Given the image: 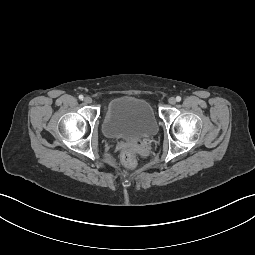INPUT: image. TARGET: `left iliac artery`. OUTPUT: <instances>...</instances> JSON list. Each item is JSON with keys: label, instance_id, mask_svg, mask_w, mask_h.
<instances>
[{"label": "left iliac artery", "instance_id": "left-iliac-artery-1", "mask_svg": "<svg viewBox=\"0 0 255 255\" xmlns=\"http://www.w3.org/2000/svg\"><path fill=\"white\" fill-rule=\"evenodd\" d=\"M176 101H177V102H180V101H181V97H180V96H177V97H176Z\"/></svg>", "mask_w": 255, "mask_h": 255}]
</instances>
